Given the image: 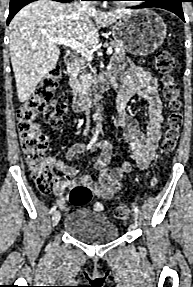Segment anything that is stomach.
Returning <instances> with one entry per match:
<instances>
[{"label": "stomach", "mask_w": 193, "mask_h": 287, "mask_svg": "<svg viewBox=\"0 0 193 287\" xmlns=\"http://www.w3.org/2000/svg\"><path fill=\"white\" fill-rule=\"evenodd\" d=\"M167 28L163 19L154 11H133L117 21L113 28L115 41L122 42L133 55L153 53L164 41Z\"/></svg>", "instance_id": "obj_1"}]
</instances>
